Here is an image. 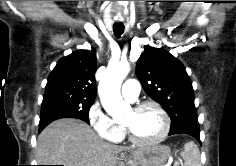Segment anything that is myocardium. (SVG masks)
<instances>
[{
    "instance_id": "f54148a6",
    "label": "myocardium",
    "mask_w": 236,
    "mask_h": 166,
    "mask_svg": "<svg viewBox=\"0 0 236 166\" xmlns=\"http://www.w3.org/2000/svg\"><path fill=\"white\" fill-rule=\"evenodd\" d=\"M147 107H153L160 113V115L162 116V119H163V130H162L161 134L158 137H156L155 139L140 140L135 136V134L132 132V130L127 125L123 124V129H124L126 135L128 136L129 140L133 144L138 145V146L157 145V144L161 143L167 137L169 130H170L169 115L158 102L151 101V100L140 102L132 108V111L135 113H138Z\"/></svg>"
}]
</instances>
